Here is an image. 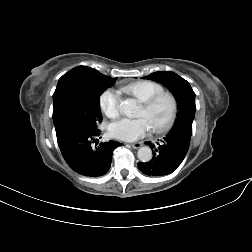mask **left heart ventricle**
I'll return each instance as SVG.
<instances>
[{
	"label": "left heart ventricle",
	"mask_w": 252,
	"mask_h": 252,
	"mask_svg": "<svg viewBox=\"0 0 252 252\" xmlns=\"http://www.w3.org/2000/svg\"><path fill=\"white\" fill-rule=\"evenodd\" d=\"M171 110L169 98L163 97L151 109L141 106L137 116L145 118L149 128H157L165 123Z\"/></svg>",
	"instance_id": "obj_1"
}]
</instances>
